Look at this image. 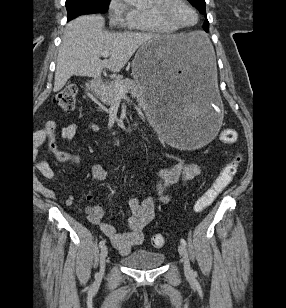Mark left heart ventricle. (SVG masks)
<instances>
[{
    "mask_svg": "<svg viewBox=\"0 0 286 308\" xmlns=\"http://www.w3.org/2000/svg\"><path fill=\"white\" fill-rule=\"evenodd\" d=\"M172 16L182 25H191L196 21L195 13L182 3L173 4Z\"/></svg>",
    "mask_w": 286,
    "mask_h": 308,
    "instance_id": "b2bd125f",
    "label": "left heart ventricle"
}]
</instances>
